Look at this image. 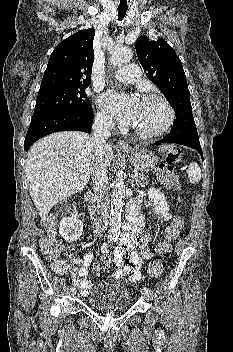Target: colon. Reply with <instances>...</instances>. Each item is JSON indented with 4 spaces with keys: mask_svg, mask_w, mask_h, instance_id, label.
<instances>
[{
    "mask_svg": "<svg viewBox=\"0 0 233 352\" xmlns=\"http://www.w3.org/2000/svg\"><path fill=\"white\" fill-rule=\"evenodd\" d=\"M180 150L172 145L163 146L160 149V163L157 167L156 174L159 181L166 187L180 190L178 177L173 165L180 162ZM185 221L181 217H175L170 225L164 230L163 236L156 245L155 254L150 260L148 272L152 277L160 275L166 265V259L172 251V244L176 241L184 229ZM46 235L40 239L39 246L42 253L52 261L53 269L58 273H65L67 266L64 261L59 260L60 247L56 241V223L50 218L46 224ZM112 267V259L109 255H104L94 266V271L108 270Z\"/></svg>",
    "mask_w": 233,
    "mask_h": 352,
    "instance_id": "1",
    "label": "colon"
}]
</instances>
